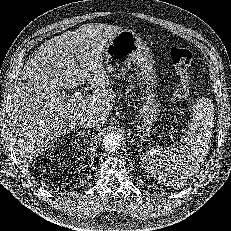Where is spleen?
Masks as SVG:
<instances>
[{"label": "spleen", "instance_id": "1", "mask_svg": "<svg viewBox=\"0 0 231 231\" xmlns=\"http://www.w3.org/2000/svg\"><path fill=\"white\" fill-rule=\"evenodd\" d=\"M213 111L198 102L192 123L176 147L155 146L142 157L147 173L165 186H180L200 168L209 153L212 139Z\"/></svg>", "mask_w": 231, "mask_h": 231}]
</instances>
